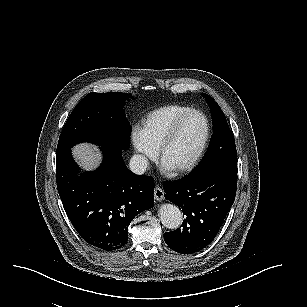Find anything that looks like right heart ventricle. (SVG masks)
<instances>
[{
	"label": "right heart ventricle",
	"mask_w": 307,
	"mask_h": 307,
	"mask_svg": "<svg viewBox=\"0 0 307 307\" xmlns=\"http://www.w3.org/2000/svg\"><path fill=\"white\" fill-rule=\"evenodd\" d=\"M182 109L169 104L161 106L152 114L151 118L146 122L144 129L140 130L136 136L143 138L153 148L156 144H163V137L166 131L171 128L173 120L178 117Z\"/></svg>",
	"instance_id": "obj_1"
}]
</instances>
